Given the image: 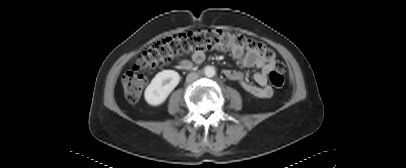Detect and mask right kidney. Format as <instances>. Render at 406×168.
<instances>
[{
  "label": "right kidney",
  "instance_id": "1",
  "mask_svg": "<svg viewBox=\"0 0 406 168\" xmlns=\"http://www.w3.org/2000/svg\"><path fill=\"white\" fill-rule=\"evenodd\" d=\"M180 81V75L174 70H163L155 75L147 86L144 96L149 105H161Z\"/></svg>",
  "mask_w": 406,
  "mask_h": 168
}]
</instances>
